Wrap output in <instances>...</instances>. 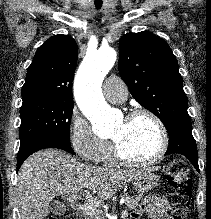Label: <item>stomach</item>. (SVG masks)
Listing matches in <instances>:
<instances>
[{
  "label": "stomach",
  "mask_w": 211,
  "mask_h": 219,
  "mask_svg": "<svg viewBox=\"0 0 211 219\" xmlns=\"http://www.w3.org/2000/svg\"><path fill=\"white\" fill-rule=\"evenodd\" d=\"M158 180V176L151 169L144 168L133 181V188L138 192H147L157 186Z\"/></svg>",
  "instance_id": "stomach-1"
}]
</instances>
